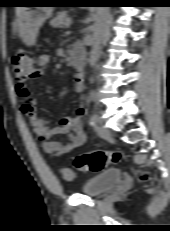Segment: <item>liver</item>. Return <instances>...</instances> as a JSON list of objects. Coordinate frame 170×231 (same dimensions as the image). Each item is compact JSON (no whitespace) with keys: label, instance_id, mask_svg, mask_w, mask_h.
<instances>
[{"label":"liver","instance_id":"1","mask_svg":"<svg viewBox=\"0 0 170 231\" xmlns=\"http://www.w3.org/2000/svg\"><path fill=\"white\" fill-rule=\"evenodd\" d=\"M22 8H23V7H16V15H17V16L21 13Z\"/></svg>","mask_w":170,"mask_h":231}]
</instances>
